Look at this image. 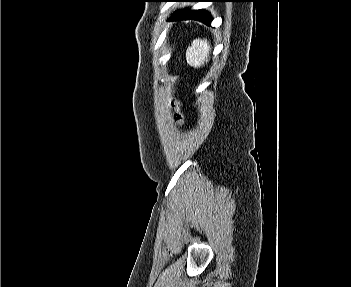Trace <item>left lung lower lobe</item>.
<instances>
[{
	"instance_id": "1",
	"label": "left lung lower lobe",
	"mask_w": 351,
	"mask_h": 287,
	"mask_svg": "<svg viewBox=\"0 0 351 287\" xmlns=\"http://www.w3.org/2000/svg\"><path fill=\"white\" fill-rule=\"evenodd\" d=\"M175 2H199L201 0H174ZM198 20L202 23H205L207 25H210L212 18L211 15L203 10H183L180 12H177L171 16L170 21H176V20Z\"/></svg>"
}]
</instances>
